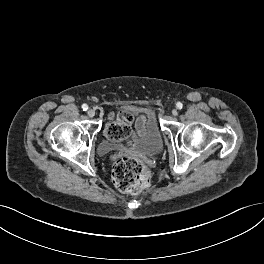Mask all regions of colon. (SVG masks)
<instances>
[{"instance_id": "1", "label": "colon", "mask_w": 264, "mask_h": 264, "mask_svg": "<svg viewBox=\"0 0 264 264\" xmlns=\"http://www.w3.org/2000/svg\"><path fill=\"white\" fill-rule=\"evenodd\" d=\"M132 117L129 113H121L106 128V135L112 140L127 137L131 129ZM112 181L121 192L137 193L151 184V174L146 165L131 156L118 158L112 168Z\"/></svg>"}]
</instances>
